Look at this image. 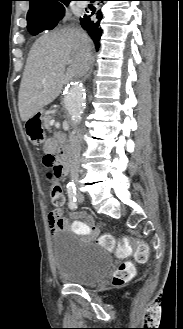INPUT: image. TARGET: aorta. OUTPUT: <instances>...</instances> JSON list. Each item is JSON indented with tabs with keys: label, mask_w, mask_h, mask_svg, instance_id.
<instances>
[{
	"label": "aorta",
	"mask_w": 183,
	"mask_h": 329,
	"mask_svg": "<svg viewBox=\"0 0 183 329\" xmlns=\"http://www.w3.org/2000/svg\"><path fill=\"white\" fill-rule=\"evenodd\" d=\"M86 102L85 86L81 82H74L67 88L64 96V106L68 111L73 124L81 121ZM72 186V182L68 184Z\"/></svg>",
	"instance_id": "obj_1"
}]
</instances>
